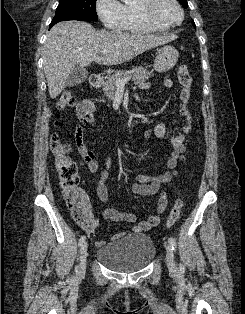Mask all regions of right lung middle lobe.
<instances>
[{
  "label": "right lung middle lobe",
  "mask_w": 245,
  "mask_h": 314,
  "mask_svg": "<svg viewBox=\"0 0 245 314\" xmlns=\"http://www.w3.org/2000/svg\"><path fill=\"white\" fill-rule=\"evenodd\" d=\"M96 0H60L51 24L65 20L97 21Z\"/></svg>",
  "instance_id": "1"
}]
</instances>
